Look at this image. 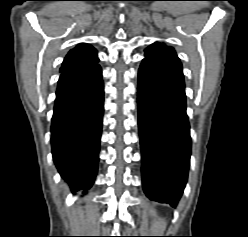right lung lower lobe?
<instances>
[{
	"label": "right lung lower lobe",
	"mask_w": 248,
	"mask_h": 237,
	"mask_svg": "<svg viewBox=\"0 0 248 237\" xmlns=\"http://www.w3.org/2000/svg\"><path fill=\"white\" fill-rule=\"evenodd\" d=\"M103 100L98 64L61 74L51 125L52 154L73 193H86L97 173Z\"/></svg>",
	"instance_id": "obj_1"
}]
</instances>
